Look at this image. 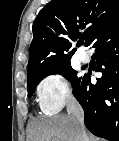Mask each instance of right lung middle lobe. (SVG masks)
Returning <instances> with one entry per match:
<instances>
[{"mask_svg":"<svg viewBox=\"0 0 119 141\" xmlns=\"http://www.w3.org/2000/svg\"><path fill=\"white\" fill-rule=\"evenodd\" d=\"M51 74L63 75L65 78L70 80L73 88L75 87V85L80 79V77L77 76V71H75L71 67L70 63L62 65L60 67L53 68V69L38 71L28 75V96L31 97L36 86L39 84V82L43 78Z\"/></svg>","mask_w":119,"mask_h":141,"instance_id":"obj_1","label":"right lung middle lobe"}]
</instances>
